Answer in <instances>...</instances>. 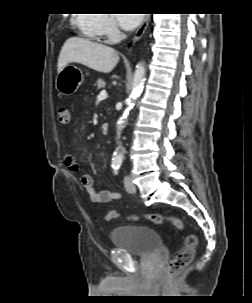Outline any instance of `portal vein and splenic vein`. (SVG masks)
Instances as JSON below:
<instances>
[{
  "label": "portal vein and splenic vein",
  "instance_id": "18ae733b",
  "mask_svg": "<svg viewBox=\"0 0 252 303\" xmlns=\"http://www.w3.org/2000/svg\"><path fill=\"white\" fill-rule=\"evenodd\" d=\"M107 97H108V94H107L106 90H102L98 95V99H106Z\"/></svg>",
  "mask_w": 252,
  "mask_h": 303
}]
</instances>
